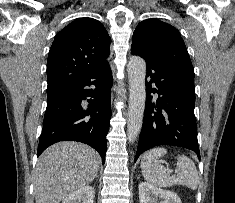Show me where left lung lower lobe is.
Listing matches in <instances>:
<instances>
[{
    "instance_id": "0a47b994",
    "label": "left lung lower lobe",
    "mask_w": 235,
    "mask_h": 203,
    "mask_svg": "<svg viewBox=\"0 0 235 203\" xmlns=\"http://www.w3.org/2000/svg\"><path fill=\"white\" fill-rule=\"evenodd\" d=\"M145 60L146 77L150 80L145 81L147 99L135 161L141 153L157 145L184 147L194 151L200 159L194 115V77L154 60ZM150 93H157V100Z\"/></svg>"
}]
</instances>
